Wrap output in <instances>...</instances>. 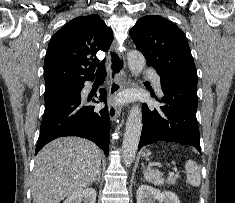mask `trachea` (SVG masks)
I'll return each mask as SVG.
<instances>
[{
	"label": "trachea",
	"mask_w": 235,
	"mask_h": 203,
	"mask_svg": "<svg viewBox=\"0 0 235 203\" xmlns=\"http://www.w3.org/2000/svg\"><path fill=\"white\" fill-rule=\"evenodd\" d=\"M96 75L97 76H106V69H105L104 64H100L98 66V69L96 71Z\"/></svg>",
	"instance_id": "1"
}]
</instances>
